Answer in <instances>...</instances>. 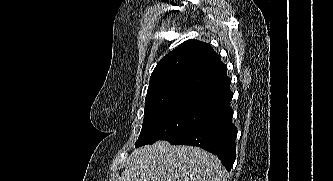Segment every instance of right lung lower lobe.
I'll return each mask as SVG.
<instances>
[{
    "mask_svg": "<svg viewBox=\"0 0 333 181\" xmlns=\"http://www.w3.org/2000/svg\"><path fill=\"white\" fill-rule=\"evenodd\" d=\"M230 101L206 110L189 130L168 142L172 145H191L217 155L228 171L236 158L237 128L232 123Z\"/></svg>",
    "mask_w": 333,
    "mask_h": 181,
    "instance_id": "obj_1",
    "label": "right lung lower lobe"
}]
</instances>
